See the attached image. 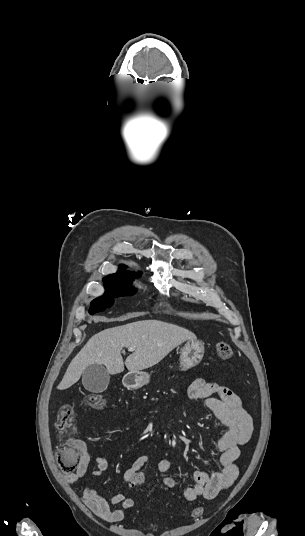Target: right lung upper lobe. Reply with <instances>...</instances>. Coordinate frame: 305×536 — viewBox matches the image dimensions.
Here are the masks:
<instances>
[{"instance_id": "cb5924a9", "label": "right lung upper lobe", "mask_w": 305, "mask_h": 536, "mask_svg": "<svg viewBox=\"0 0 305 536\" xmlns=\"http://www.w3.org/2000/svg\"><path fill=\"white\" fill-rule=\"evenodd\" d=\"M120 268L122 269L121 271H118L116 274H112V275L105 277L104 281H110V282L131 281L132 280L131 274L124 270L126 267L121 266Z\"/></svg>"}]
</instances>
